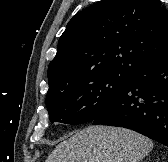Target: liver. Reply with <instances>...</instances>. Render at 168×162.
<instances>
[{"mask_svg": "<svg viewBox=\"0 0 168 162\" xmlns=\"http://www.w3.org/2000/svg\"><path fill=\"white\" fill-rule=\"evenodd\" d=\"M153 145L129 129L90 126L58 144L45 162H139Z\"/></svg>", "mask_w": 168, "mask_h": 162, "instance_id": "1", "label": "liver"}]
</instances>
